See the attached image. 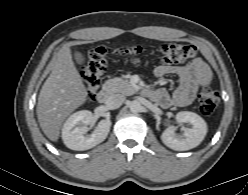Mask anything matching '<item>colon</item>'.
I'll list each match as a JSON object with an SVG mask.
<instances>
[{
	"mask_svg": "<svg viewBox=\"0 0 248 195\" xmlns=\"http://www.w3.org/2000/svg\"><path fill=\"white\" fill-rule=\"evenodd\" d=\"M197 48L192 44L179 41L161 44L155 51L157 62L161 64H177L185 62L197 54ZM114 57L122 58L133 65L147 64L151 59L140 46L110 49L98 46L91 49L83 68V81L88 99H93L101 85L102 76ZM199 108L204 116H210L215 111L218 103V93L212 89L204 88L198 95Z\"/></svg>",
	"mask_w": 248,
	"mask_h": 195,
	"instance_id": "colon-1",
	"label": "colon"
}]
</instances>
